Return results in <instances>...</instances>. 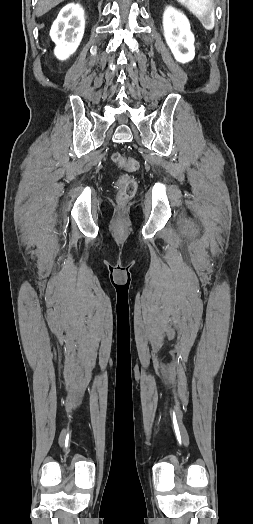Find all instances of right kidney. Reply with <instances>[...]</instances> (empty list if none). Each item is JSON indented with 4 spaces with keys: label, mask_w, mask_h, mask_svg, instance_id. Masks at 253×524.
<instances>
[{
    "label": "right kidney",
    "mask_w": 253,
    "mask_h": 524,
    "mask_svg": "<svg viewBox=\"0 0 253 524\" xmlns=\"http://www.w3.org/2000/svg\"><path fill=\"white\" fill-rule=\"evenodd\" d=\"M85 28L84 10L79 4L66 5L54 21L50 36L56 43L55 55L67 59L78 48Z\"/></svg>",
    "instance_id": "obj_1"
}]
</instances>
